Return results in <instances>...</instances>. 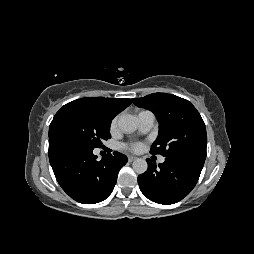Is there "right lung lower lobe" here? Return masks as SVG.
I'll return each mask as SVG.
<instances>
[{"label":"right lung lower lobe","instance_id":"right-lung-lower-lobe-1","mask_svg":"<svg viewBox=\"0 0 254 254\" xmlns=\"http://www.w3.org/2000/svg\"><path fill=\"white\" fill-rule=\"evenodd\" d=\"M93 149L74 141L49 140V160L58 183L83 204L105 200L113 191L119 170L127 163V157L119 152L107 153L97 161Z\"/></svg>","mask_w":254,"mask_h":254}]
</instances>
